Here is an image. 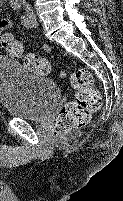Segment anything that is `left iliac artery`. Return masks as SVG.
Segmentation results:
<instances>
[{
    "label": "left iliac artery",
    "mask_w": 123,
    "mask_h": 201,
    "mask_svg": "<svg viewBox=\"0 0 123 201\" xmlns=\"http://www.w3.org/2000/svg\"><path fill=\"white\" fill-rule=\"evenodd\" d=\"M22 23H23L24 26H26V27L29 26V21H28L25 17H22Z\"/></svg>",
    "instance_id": "1"
}]
</instances>
